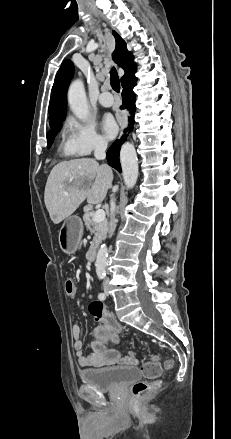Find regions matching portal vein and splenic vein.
<instances>
[{
    "label": "portal vein and splenic vein",
    "instance_id": "portal-vein-and-splenic-vein-1",
    "mask_svg": "<svg viewBox=\"0 0 231 439\" xmlns=\"http://www.w3.org/2000/svg\"><path fill=\"white\" fill-rule=\"evenodd\" d=\"M105 211L103 209H99L95 212L94 216H93V221L95 223H99L102 222L103 220H105Z\"/></svg>",
    "mask_w": 231,
    "mask_h": 439
}]
</instances>
